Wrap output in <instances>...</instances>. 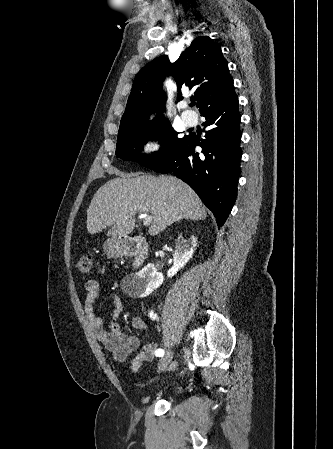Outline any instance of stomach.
<instances>
[{"mask_svg": "<svg viewBox=\"0 0 333 449\" xmlns=\"http://www.w3.org/2000/svg\"><path fill=\"white\" fill-rule=\"evenodd\" d=\"M103 248L109 258H117L125 253L122 241L116 238L108 239L104 243Z\"/></svg>", "mask_w": 333, "mask_h": 449, "instance_id": "1", "label": "stomach"}]
</instances>
